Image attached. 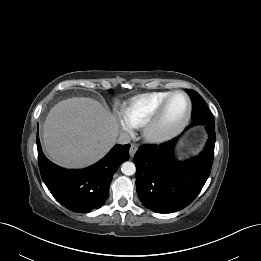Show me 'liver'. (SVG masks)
<instances>
[{
	"instance_id": "1",
	"label": "liver",
	"mask_w": 261,
	"mask_h": 261,
	"mask_svg": "<svg viewBox=\"0 0 261 261\" xmlns=\"http://www.w3.org/2000/svg\"><path fill=\"white\" fill-rule=\"evenodd\" d=\"M49 157L66 168H83L103 158L119 134L116 118L98 101L86 97L57 103L44 123Z\"/></svg>"
}]
</instances>
